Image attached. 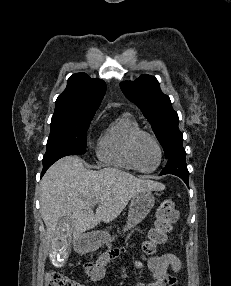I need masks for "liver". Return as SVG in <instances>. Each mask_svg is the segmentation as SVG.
<instances>
[{"label": "liver", "mask_w": 231, "mask_h": 286, "mask_svg": "<svg viewBox=\"0 0 231 286\" xmlns=\"http://www.w3.org/2000/svg\"><path fill=\"white\" fill-rule=\"evenodd\" d=\"M165 185L139 179L117 168L87 170L78 156H67L54 163L41 181V215L47 240L52 245L61 218L73 221L71 234L77 240L103 221L109 223L124 210L130 199L142 191H161ZM97 201L96 213L92 203Z\"/></svg>", "instance_id": "1"}]
</instances>
